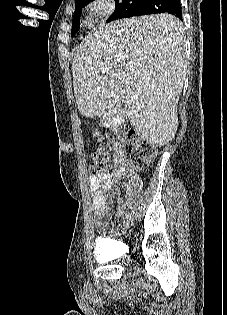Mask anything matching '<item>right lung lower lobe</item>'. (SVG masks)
I'll return each mask as SVG.
<instances>
[{
	"label": "right lung lower lobe",
	"mask_w": 227,
	"mask_h": 315,
	"mask_svg": "<svg viewBox=\"0 0 227 315\" xmlns=\"http://www.w3.org/2000/svg\"><path fill=\"white\" fill-rule=\"evenodd\" d=\"M158 13L172 14L182 20L180 0H145L138 7L126 8L120 19Z\"/></svg>",
	"instance_id": "1"
}]
</instances>
